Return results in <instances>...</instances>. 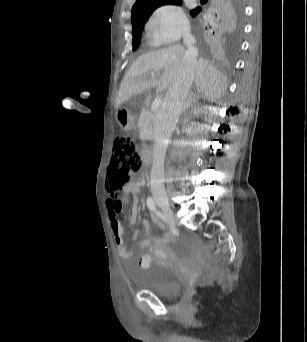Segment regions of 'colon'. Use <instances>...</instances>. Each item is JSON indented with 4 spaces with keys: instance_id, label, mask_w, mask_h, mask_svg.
Segmentation results:
<instances>
[{
    "instance_id": "obj_1",
    "label": "colon",
    "mask_w": 307,
    "mask_h": 342,
    "mask_svg": "<svg viewBox=\"0 0 307 342\" xmlns=\"http://www.w3.org/2000/svg\"><path fill=\"white\" fill-rule=\"evenodd\" d=\"M140 166L141 156L136 141L130 136L117 137L107 171V192L111 198V207H116V202L120 201L123 187Z\"/></svg>"
}]
</instances>
